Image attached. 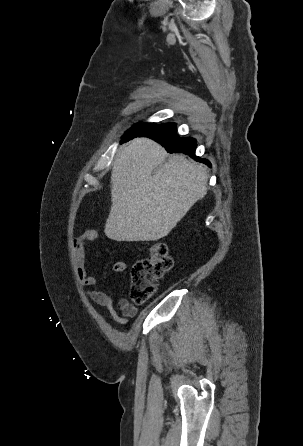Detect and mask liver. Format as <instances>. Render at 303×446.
Listing matches in <instances>:
<instances>
[{
	"instance_id": "1",
	"label": "liver",
	"mask_w": 303,
	"mask_h": 446,
	"mask_svg": "<svg viewBox=\"0 0 303 446\" xmlns=\"http://www.w3.org/2000/svg\"><path fill=\"white\" fill-rule=\"evenodd\" d=\"M166 157L165 149L147 138H136L120 150L111 173L108 238L159 240L206 195L208 175L202 165L181 154L164 163Z\"/></svg>"
}]
</instances>
